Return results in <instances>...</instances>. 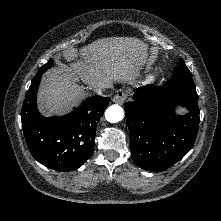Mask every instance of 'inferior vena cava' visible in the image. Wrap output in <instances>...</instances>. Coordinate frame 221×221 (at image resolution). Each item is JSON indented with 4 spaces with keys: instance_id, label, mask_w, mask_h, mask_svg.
I'll return each mask as SVG.
<instances>
[{
    "instance_id": "obj_1",
    "label": "inferior vena cava",
    "mask_w": 221,
    "mask_h": 221,
    "mask_svg": "<svg viewBox=\"0 0 221 221\" xmlns=\"http://www.w3.org/2000/svg\"><path fill=\"white\" fill-rule=\"evenodd\" d=\"M111 85H107L105 88H97L95 89V92L98 94V95H103V92L106 88H110Z\"/></svg>"
}]
</instances>
